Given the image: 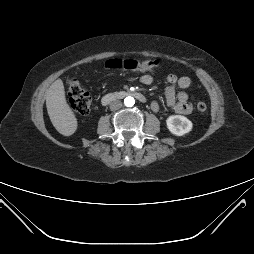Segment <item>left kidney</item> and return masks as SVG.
I'll return each instance as SVG.
<instances>
[{"label": "left kidney", "mask_w": 254, "mask_h": 254, "mask_svg": "<svg viewBox=\"0 0 254 254\" xmlns=\"http://www.w3.org/2000/svg\"><path fill=\"white\" fill-rule=\"evenodd\" d=\"M168 130L176 135L183 136L192 130V122L182 115H171L166 120Z\"/></svg>", "instance_id": "5707ae66"}]
</instances>
